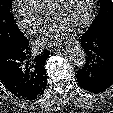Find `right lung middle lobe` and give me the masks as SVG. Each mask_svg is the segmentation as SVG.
Listing matches in <instances>:
<instances>
[{
	"mask_svg": "<svg viewBox=\"0 0 113 113\" xmlns=\"http://www.w3.org/2000/svg\"><path fill=\"white\" fill-rule=\"evenodd\" d=\"M12 1L0 0V49L24 37L11 12Z\"/></svg>",
	"mask_w": 113,
	"mask_h": 113,
	"instance_id": "1",
	"label": "right lung middle lobe"
}]
</instances>
